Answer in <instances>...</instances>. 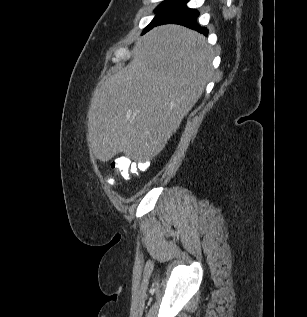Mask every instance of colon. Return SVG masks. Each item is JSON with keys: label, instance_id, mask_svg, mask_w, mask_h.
Instances as JSON below:
<instances>
[{"label": "colon", "instance_id": "colon-1", "mask_svg": "<svg viewBox=\"0 0 307 317\" xmlns=\"http://www.w3.org/2000/svg\"><path fill=\"white\" fill-rule=\"evenodd\" d=\"M148 167V164L145 162H131L126 158L115 159L111 168L115 176L122 179H131L133 175L138 174L139 172L145 171ZM109 183H113L114 179L109 178Z\"/></svg>", "mask_w": 307, "mask_h": 317}]
</instances>
